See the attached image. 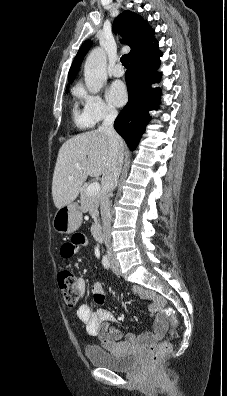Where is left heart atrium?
Segmentation results:
<instances>
[{
    "label": "left heart atrium",
    "instance_id": "left-heart-atrium-1",
    "mask_svg": "<svg viewBox=\"0 0 227 396\" xmlns=\"http://www.w3.org/2000/svg\"><path fill=\"white\" fill-rule=\"evenodd\" d=\"M108 101L115 106H122L127 102L128 95L125 85L116 81L107 90Z\"/></svg>",
    "mask_w": 227,
    "mask_h": 396
}]
</instances>
